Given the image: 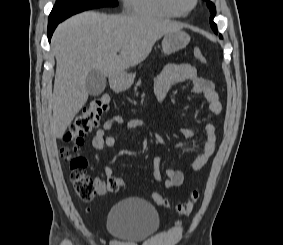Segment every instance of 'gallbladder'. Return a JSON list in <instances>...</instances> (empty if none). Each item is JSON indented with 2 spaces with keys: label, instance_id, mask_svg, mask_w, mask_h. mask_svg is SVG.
<instances>
[{
  "label": "gallbladder",
  "instance_id": "gallbladder-1",
  "mask_svg": "<svg viewBox=\"0 0 283 245\" xmlns=\"http://www.w3.org/2000/svg\"><path fill=\"white\" fill-rule=\"evenodd\" d=\"M106 87V77L98 70H92L89 72L86 78V88L90 95H100Z\"/></svg>",
  "mask_w": 283,
  "mask_h": 245
}]
</instances>
